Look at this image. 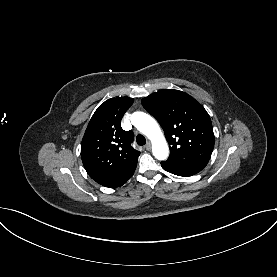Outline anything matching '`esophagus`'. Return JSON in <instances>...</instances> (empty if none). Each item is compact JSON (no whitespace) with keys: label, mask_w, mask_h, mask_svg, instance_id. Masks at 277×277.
I'll use <instances>...</instances> for the list:
<instances>
[{"label":"esophagus","mask_w":277,"mask_h":277,"mask_svg":"<svg viewBox=\"0 0 277 277\" xmlns=\"http://www.w3.org/2000/svg\"><path fill=\"white\" fill-rule=\"evenodd\" d=\"M145 149L146 150H150L151 149V143L148 142L146 145H145Z\"/></svg>","instance_id":"obj_1"}]
</instances>
